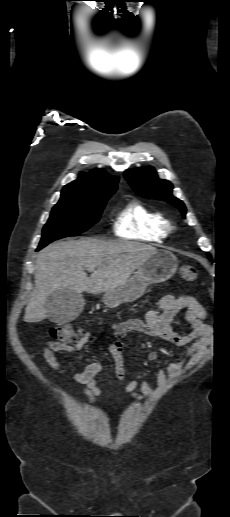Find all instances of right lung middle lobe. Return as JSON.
<instances>
[{"label":"right lung middle lobe","instance_id":"obj_1","mask_svg":"<svg viewBox=\"0 0 230 517\" xmlns=\"http://www.w3.org/2000/svg\"><path fill=\"white\" fill-rule=\"evenodd\" d=\"M114 192L86 200L60 199L43 228L39 248L54 240L78 235L98 222L106 201Z\"/></svg>","mask_w":230,"mask_h":517}]
</instances>
